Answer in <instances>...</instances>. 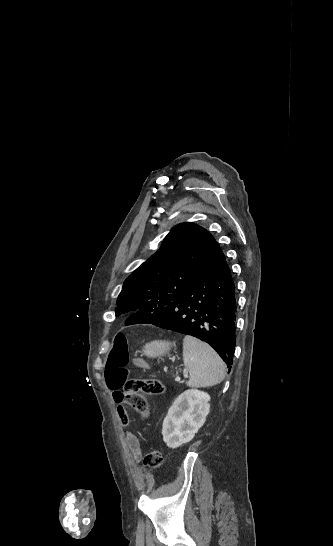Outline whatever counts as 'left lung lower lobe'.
I'll use <instances>...</instances> for the list:
<instances>
[{
  "instance_id": "left-lung-lower-lobe-1",
  "label": "left lung lower lobe",
  "mask_w": 333,
  "mask_h": 546,
  "mask_svg": "<svg viewBox=\"0 0 333 546\" xmlns=\"http://www.w3.org/2000/svg\"><path fill=\"white\" fill-rule=\"evenodd\" d=\"M235 284L225 256L215 242L202 269L186 291L147 323L137 312L126 325L152 324L207 342L231 368L235 352Z\"/></svg>"
}]
</instances>
